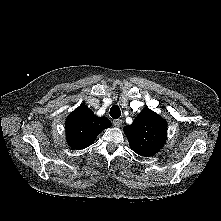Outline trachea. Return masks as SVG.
<instances>
[{
    "label": "trachea",
    "mask_w": 221,
    "mask_h": 221,
    "mask_svg": "<svg viewBox=\"0 0 221 221\" xmlns=\"http://www.w3.org/2000/svg\"><path fill=\"white\" fill-rule=\"evenodd\" d=\"M110 116L113 119H118L121 116L120 108L117 105H114L110 109Z\"/></svg>",
    "instance_id": "1"
}]
</instances>
